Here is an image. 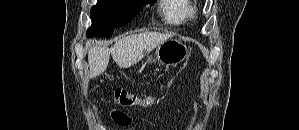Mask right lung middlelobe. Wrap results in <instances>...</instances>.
<instances>
[{"instance_id": "obj_1", "label": "right lung middle lobe", "mask_w": 299, "mask_h": 130, "mask_svg": "<svg viewBox=\"0 0 299 130\" xmlns=\"http://www.w3.org/2000/svg\"><path fill=\"white\" fill-rule=\"evenodd\" d=\"M156 1L146 0H98L91 8L92 26L87 30V36L109 37L115 27L122 26L132 20L147 4Z\"/></svg>"}]
</instances>
